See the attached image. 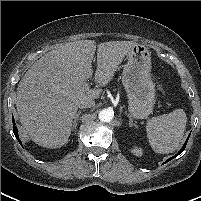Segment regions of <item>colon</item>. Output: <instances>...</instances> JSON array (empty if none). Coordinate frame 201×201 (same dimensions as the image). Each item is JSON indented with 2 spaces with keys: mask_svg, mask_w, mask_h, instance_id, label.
Segmentation results:
<instances>
[{
  "mask_svg": "<svg viewBox=\"0 0 201 201\" xmlns=\"http://www.w3.org/2000/svg\"><path fill=\"white\" fill-rule=\"evenodd\" d=\"M160 91L163 92V89L161 87H159Z\"/></svg>",
  "mask_w": 201,
  "mask_h": 201,
  "instance_id": "5ec220e1",
  "label": "colon"
}]
</instances>
